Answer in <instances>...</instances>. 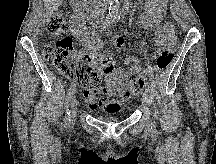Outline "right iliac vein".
Here are the masks:
<instances>
[{
    "mask_svg": "<svg viewBox=\"0 0 216 164\" xmlns=\"http://www.w3.org/2000/svg\"><path fill=\"white\" fill-rule=\"evenodd\" d=\"M78 105V100L76 98L75 93L72 95L71 97V101L69 104V108H70V123L72 122V120L75 118L76 116V107Z\"/></svg>",
    "mask_w": 216,
    "mask_h": 164,
    "instance_id": "63e3f726",
    "label": "right iliac vein"
}]
</instances>
